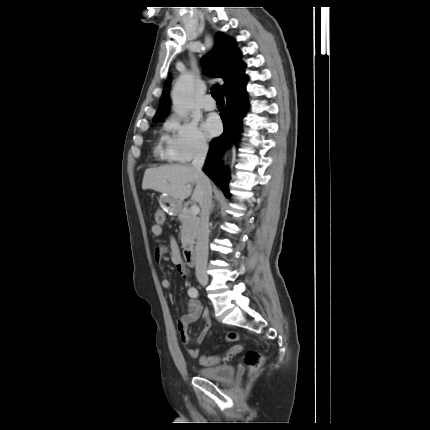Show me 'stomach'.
<instances>
[{"instance_id": "obj_1", "label": "stomach", "mask_w": 430, "mask_h": 430, "mask_svg": "<svg viewBox=\"0 0 430 430\" xmlns=\"http://www.w3.org/2000/svg\"><path fill=\"white\" fill-rule=\"evenodd\" d=\"M161 207L168 212H174L177 210L176 200L168 195L160 196Z\"/></svg>"}]
</instances>
